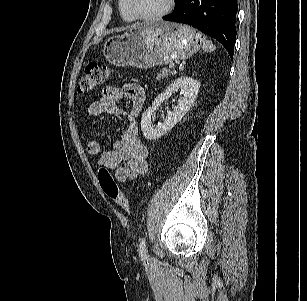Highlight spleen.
<instances>
[{
	"instance_id": "obj_1",
	"label": "spleen",
	"mask_w": 307,
	"mask_h": 301,
	"mask_svg": "<svg viewBox=\"0 0 307 301\" xmlns=\"http://www.w3.org/2000/svg\"><path fill=\"white\" fill-rule=\"evenodd\" d=\"M202 48H203L204 52H212V51H214L216 49L215 45L211 41H209V40H204L203 41Z\"/></svg>"
}]
</instances>
